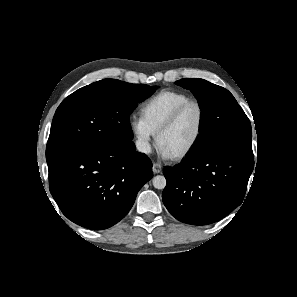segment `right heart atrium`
Returning a JSON list of instances; mask_svg holds the SVG:
<instances>
[{"label": "right heart atrium", "mask_w": 297, "mask_h": 297, "mask_svg": "<svg viewBox=\"0 0 297 297\" xmlns=\"http://www.w3.org/2000/svg\"><path fill=\"white\" fill-rule=\"evenodd\" d=\"M130 131L134 137L135 146L140 153L148 154L152 150L155 133L150 129L142 117L131 116Z\"/></svg>", "instance_id": "obj_1"}]
</instances>
